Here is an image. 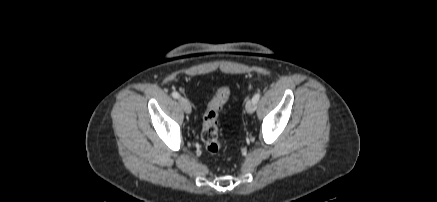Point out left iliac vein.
Returning a JSON list of instances; mask_svg holds the SVG:
<instances>
[{"label": "left iliac vein", "mask_w": 437, "mask_h": 202, "mask_svg": "<svg viewBox=\"0 0 437 202\" xmlns=\"http://www.w3.org/2000/svg\"><path fill=\"white\" fill-rule=\"evenodd\" d=\"M256 110V103L253 100H248L246 103V111L252 114Z\"/></svg>", "instance_id": "left-iliac-vein-1"}]
</instances>
